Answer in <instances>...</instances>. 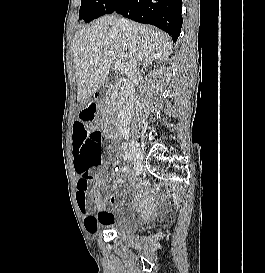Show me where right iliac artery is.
Listing matches in <instances>:
<instances>
[{"instance_id":"82829eb1","label":"right iliac artery","mask_w":265,"mask_h":273,"mask_svg":"<svg viewBox=\"0 0 265 273\" xmlns=\"http://www.w3.org/2000/svg\"><path fill=\"white\" fill-rule=\"evenodd\" d=\"M123 158H124L125 160H127V161H132V159H133L132 155H131L129 152H127V151H125V152L123 153Z\"/></svg>"}]
</instances>
